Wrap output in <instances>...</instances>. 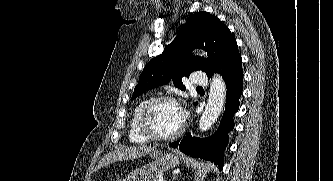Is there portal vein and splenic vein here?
Here are the masks:
<instances>
[{
    "mask_svg": "<svg viewBox=\"0 0 333 181\" xmlns=\"http://www.w3.org/2000/svg\"><path fill=\"white\" fill-rule=\"evenodd\" d=\"M159 181H163V178H159Z\"/></svg>",
    "mask_w": 333,
    "mask_h": 181,
    "instance_id": "18ae733b",
    "label": "portal vein and splenic vein"
}]
</instances>
